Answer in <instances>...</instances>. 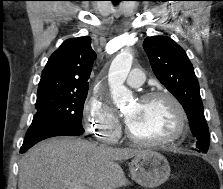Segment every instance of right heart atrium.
I'll return each instance as SVG.
<instances>
[{
	"label": "right heart atrium",
	"mask_w": 223,
	"mask_h": 189,
	"mask_svg": "<svg viewBox=\"0 0 223 189\" xmlns=\"http://www.w3.org/2000/svg\"><path fill=\"white\" fill-rule=\"evenodd\" d=\"M83 116L92 134L106 142H112L119 131V120L107 102L90 97L83 109Z\"/></svg>",
	"instance_id": "1"
}]
</instances>
